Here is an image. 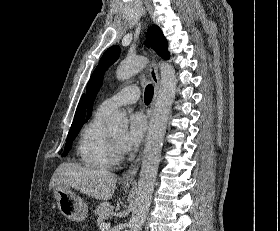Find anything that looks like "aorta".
<instances>
[{
  "label": "aorta",
  "mask_w": 280,
  "mask_h": 231,
  "mask_svg": "<svg viewBox=\"0 0 280 231\" xmlns=\"http://www.w3.org/2000/svg\"><path fill=\"white\" fill-rule=\"evenodd\" d=\"M146 64H148V58L145 56H138L134 60H124L116 70L117 80H122V82L129 80L135 74H139ZM159 70L161 80L145 139L138 187L129 221L130 231H142V225L154 191L166 125L177 90V78L173 66L166 64V62H160ZM106 123L109 129L125 131L128 127V117L124 112H116L113 116L108 117Z\"/></svg>",
  "instance_id": "aorta-1"
}]
</instances>
